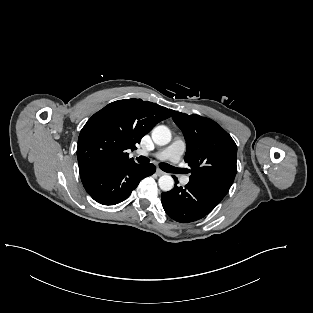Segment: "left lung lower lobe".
Wrapping results in <instances>:
<instances>
[{
	"label": "left lung lower lobe",
	"instance_id": "1",
	"mask_svg": "<svg viewBox=\"0 0 313 313\" xmlns=\"http://www.w3.org/2000/svg\"><path fill=\"white\" fill-rule=\"evenodd\" d=\"M175 187L161 195L165 212L175 221L189 223L209 214L224 198V196L190 182L184 188Z\"/></svg>",
	"mask_w": 313,
	"mask_h": 313
}]
</instances>
